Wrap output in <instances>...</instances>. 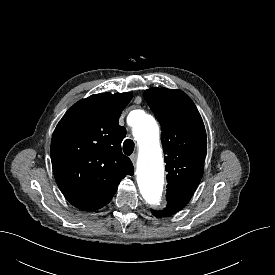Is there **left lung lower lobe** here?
Returning a JSON list of instances; mask_svg holds the SVG:
<instances>
[{
  "label": "left lung lower lobe",
  "mask_w": 275,
  "mask_h": 275,
  "mask_svg": "<svg viewBox=\"0 0 275 275\" xmlns=\"http://www.w3.org/2000/svg\"><path fill=\"white\" fill-rule=\"evenodd\" d=\"M167 206L161 211H152V214L156 217H167L180 211L191 199L190 196H166Z\"/></svg>",
  "instance_id": "0a47b994"
}]
</instances>
